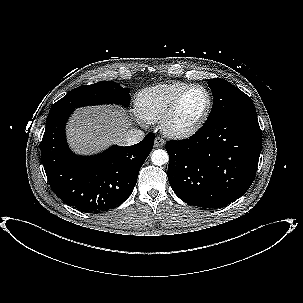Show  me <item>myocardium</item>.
Segmentation results:
<instances>
[{"label":"myocardium","instance_id":"myocardium-1","mask_svg":"<svg viewBox=\"0 0 303 303\" xmlns=\"http://www.w3.org/2000/svg\"><path fill=\"white\" fill-rule=\"evenodd\" d=\"M195 88L202 89L206 94V98H207L206 107L202 112V114L191 124L186 126L178 125L176 122V118L181 108V105L185 97L188 95V93ZM211 109H212V97L209 90L201 84H190L186 89H184L179 94V96L176 98V100L171 105L169 110L162 117L160 121L161 129L165 135L172 138L182 139V138L190 137L201 129V127L208 119Z\"/></svg>","mask_w":303,"mask_h":303}]
</instances>
